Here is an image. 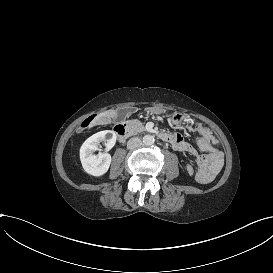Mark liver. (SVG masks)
<instances>
[{"label":"liver","instance_id":"6515ba94","mask_svg":"<svg viewBox=\"0 0 273 273\" xmlns=\"http://www.w3.org/2000/svg\"><path fill=\"white\" fill-rule=\"evenodd\" d=\"M114 113H115L114 110H107V111L99 113L96 116L93 125H104V124L110 123Z\"/></svg>","mask_w":273,"mask_h":273}]
</instances>
